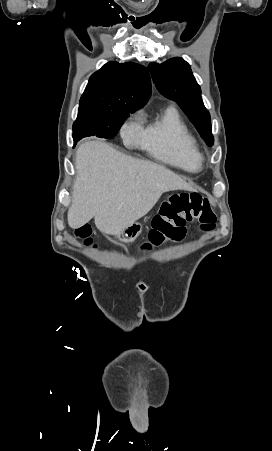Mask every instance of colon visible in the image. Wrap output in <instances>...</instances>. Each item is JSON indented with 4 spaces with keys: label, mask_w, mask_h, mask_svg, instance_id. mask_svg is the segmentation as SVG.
<instances>
[{
    "label": "colon",
    "mask_w": 272,
    "mask_h": 451,
    "mask_svg": "<svg viewBox=\"0 0 272 451\" xmlns=\"http://www.w3.org/2000/svg\"><path fill=\"white\" fill-rule=\"evenodd\" d=\"M152 222L149 242L154 246H160L166 240H180L183 236L181 228L186 224L196 223L203 231L213 230L216 225V214L207 195L199 192H182L165 202ZM76 235L83 239L86 245H94L88 226L78 227Z\"/></svg>",
    "instance_id": "obj_1"
}]
</instances>
